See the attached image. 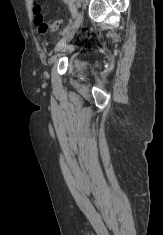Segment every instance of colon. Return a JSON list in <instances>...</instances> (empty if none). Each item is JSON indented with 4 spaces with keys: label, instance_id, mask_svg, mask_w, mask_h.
Instances as JSON below:
<instances>
[{
    "label": "colon",
    "instance_id": "colon-1",
    "mask_svg": "<svg viewBox=\"0 0 163 235\" xmlns=\"http://www.w3.org/2000/svg\"><path fill=\"white\" fill-rule=\"evenodd\" d=\"M34 14V22L39 32L45 33L47 31H56L59 29L61 25V20H55L51 22L46 21L41 12V7L37 3V1H35L34 3Z\"/></svg>",
    "mask_w": 163,
    "mask_h": 235
}]
</instances>
